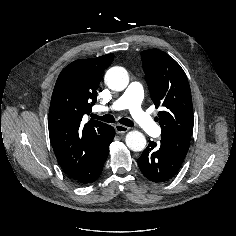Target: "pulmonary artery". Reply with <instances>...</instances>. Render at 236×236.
Segmentation results:
<instances>
[{"label":"pulmonary artery","mask_w":236,"mask_h":236,"mask_svg":"<svg viewBox=\"0 0 236 236\" xmlns=\"http://www.w3.org/2000/svg\"><path fill=\"white\" fill-rule=\"evenodd\" d=\"M143 86L139 82H132L125 91L111 105L100 107V111L129 109L133 120L148 135L155 136L160 128L141 107Z\"/></svg>","instance_id":"e3ab8cb5"}]
</instances>
